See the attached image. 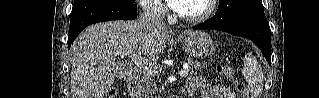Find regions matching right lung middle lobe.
Wrapping results in <instances>:
<instances>
[{
	"label": "right lung middle lobe",
	"instance_id": "dd1d6c3e",
	"mask_svg": "<svg viewBox=\"0 0 319 98\" xmlns=\"http://www.w3.org/2000/svg\"><path fill=\"white\" fill-rule=\"evenodd\" d=\"M83 1H87V0H74V3H79V2H83ZM122 2H126L129 4H134L135 0H121Z\"/></svg>",
	"mask_w": 319,
	"mask_h": 98
}]
</instances>
